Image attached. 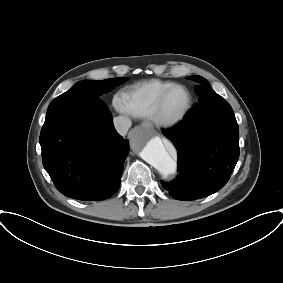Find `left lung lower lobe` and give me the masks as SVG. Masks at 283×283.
<instances>
[{"instance_id":"left-lung-lower-lobe-1","label":"left lung lower lobe","mask_w":283,"mask_h":283,"mask_svg":"<svg viewBox=\"0 0 283 283\" xmlns=\"http://www.w3.org/2000/svg\"><path fill=\"white\" fill-rule=\"evenodd\" d=\"M233 110L217 93L188 111L184 120L163 134L178 151L177 178L163 183L178 200H195L220 190L239 158V135L226 134Z\"/></svg>"}]
</instances>
